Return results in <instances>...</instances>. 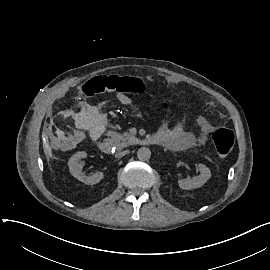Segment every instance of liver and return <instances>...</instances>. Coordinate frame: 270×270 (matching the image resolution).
<instances>
[{"mask_svg": "<svg viewBox=\"0 0 270 270\" xmlns=\"http://www.w3.org/2000/svg\"><path fill=\"white\" fill-rule=\"evenodd\" d=\"M44 152H45V154H46L47 156H51V155H52V153H51V148H50V147H45V148H44Z\"/></svg>", "mask_w": 270, "mask_h": 270, "instance_id": "1", "label": "liver"}]
</instances>
